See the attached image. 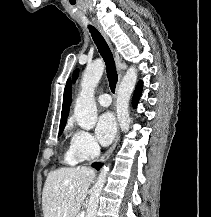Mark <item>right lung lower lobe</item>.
<instances>
[{
	"label": "right lung lower lobe",
	"instance_id": "right-lung-lower-lobe-1",
	"mask_svg": "<svg viewBox=\"0 0 211 217\" xmlns=\"http://www.w3.org/2000/svg\"><path fill=\"white\" fill-rule=\"evenodd\" d=\"M102 166V163H93L92 167H94L95 169L99 170Z\"/></svg>",
	"mask_w": 211,
	"mask_h": 217
}]
</instances>
